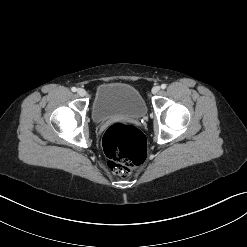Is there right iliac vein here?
<instances>
[{
  "instance_id": "63e3f726",
  "label": "right iliac vein",
  "mask_w": 247,
  "mask_h": 247,
  "mask_svg": "<svg viewBox=\"0 0 247 247\" xmlns=\"http://www.w3.org/2000/svg\"><path fill=\"white\" fill-rule=\"evenodd\" d=\"M77 93H78V95L81 96V97H83V96L86 95V91H85L83 88H79V89L77 90Z\"/></svg>"
}]
</instances>
